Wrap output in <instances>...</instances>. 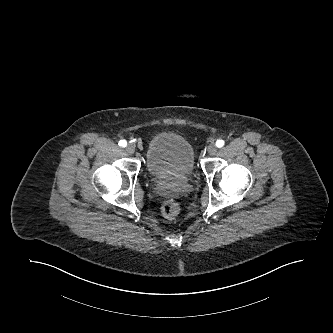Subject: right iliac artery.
<instances>
[{"label": "right iliac artery", "instance_id": "1", "mask_svg": "<svg viewBox=\"0 0 333 333\" xmlns=\"http://www.w3.org/2000/svg\"><path fill=\"white\" fill-rule=\"evenodd\" d=\"M119 145H120L121 147H125V146L127 145L126 140H120V141H119Z\"/></svg>", "mask_w": 333, "mask_h": 333}]
</instances>
